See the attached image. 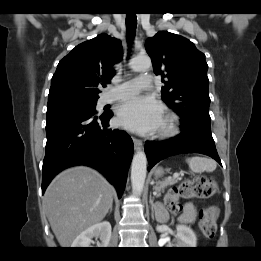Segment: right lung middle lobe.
Returning <instances> with one entry per match:
<instances>
[{
	"label": "right lung middle lobe",
	"mask_w": 261,
	"mask_h": 261,
	"mask_svg": "<svg viewBox=\"0 0 261 261\" xmlns=\"http://www.w3.org/2000/svg\"><path fill=\"white\" fill-rule=\"evenodd\" d=\"M97 99L78 97L74 95H59L48 99L47 116L63 112H82L95 114Z\"/></svg>",
	"instance_id": "dd1d6c3e"
}]
</instances>
